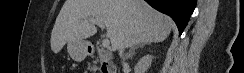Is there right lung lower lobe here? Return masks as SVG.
I'll return each instance as SVG.
<instances>
[{
	"label": "right lung lower lobe",
	"mask_w": 244,
	"mask_h": 73,
	"mask_svg": "<svg viewBox=\"0 0 244 73\" xmlns=\"http://www.w3.org/2000/svg\"><path fill=\"white\" fill-rule=\"evenodd\" d=\"M158 11L172 17L175 21L179 34L184 31L188 20L195 8L197 0H145Z\"/></svg>",
	"instance_id": "98d812e1"
}]
</instances>
